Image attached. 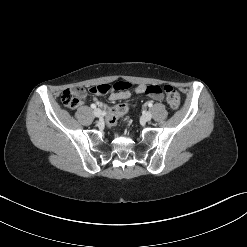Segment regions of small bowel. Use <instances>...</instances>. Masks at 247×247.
I'll use <instances>...</instances> for the list:
<instances>
[{"instance_id":"1","label":"small bowel","mask_w":247,"mask_h":247,"mask_svg":"<svg viewBox=\"0 0 247 247\" xmlns=\"http://www.w3.org/2000/svg\"><path fill=\"white\" fill-rule=\"evenodd\" d=\"M125 84L124 87L121 88H111L110 89V93H109V99L111 101H118V100H125L128 99L132 92H135L137 94H146L149 97V90H139V87H152V86H158V85H146V84H138V85H134L133 87H130L129 82H120ZM85 97V95H84ZM126 104V103H124Z\"/></svg>"}]
</instances>
